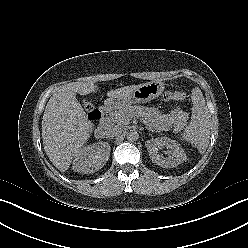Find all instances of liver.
<instances>
[{"label":"liver","mask_w":248,"mask_h":248,"mask_svg":"<svg viewBox=\"0 0 248 248\" xmlns=\"http://www.w3.org/2000/svg\"><path fill=\"white\" fill-rule=\"evenodd\" d=\"M138 86L111 90L107 96H125ZM95 91L92 82H72L61 87L47 102L42 118V140L47 156L61 172L68 170L94 127L76 99V93L87 95Z\"/></svg>","instance_id":"obj_1"}]
</instances>
